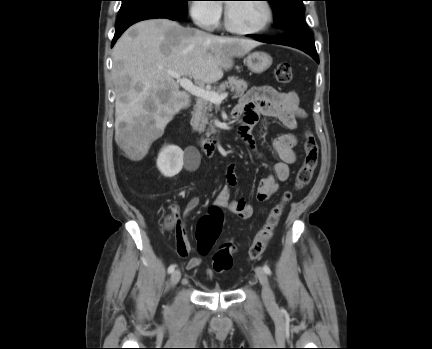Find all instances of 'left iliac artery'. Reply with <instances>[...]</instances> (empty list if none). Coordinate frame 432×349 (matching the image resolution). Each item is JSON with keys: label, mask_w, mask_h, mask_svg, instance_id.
<instances>
[{"label": "left iliac artery", "mask_w": 432, "mask_h": 349, "mask_svg": "<svg viewBox=\"0 0 432 349\" xmlns=\"http://www.w3.org/2000/svg\"><path fill=\"white\" fill-rule=\"evenodd\" d=\"M263 270L265 271L266 274L271 275V269L269 268V266L264 265Z\"/></svg>", "instance_id": "1"}]
</instances>
